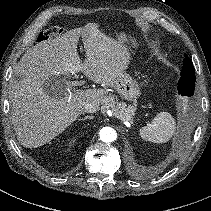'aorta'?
<instances>
[{
  "instance_id": "1",
  "label": "aorta",
  "mask_w": 211,
  "mask_h": 211,
  "mask_svg": "<svg viewBox=\"0 0 211 211\" xmlns=\"http://www.w3.org/2000/svg\"><path fill=\"white\" fill-rule=\"evenodd\" d=\"M100 139L103 142H114L117 139L116 131L111 127H103L99 132Z\"/></svg>"
}]
</instances>
